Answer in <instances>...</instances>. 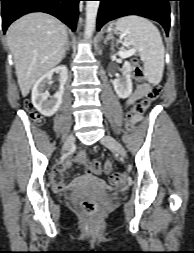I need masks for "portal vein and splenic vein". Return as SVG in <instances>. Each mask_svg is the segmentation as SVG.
I'll list each match as a JSON object with an SVG mask.
<instances>
[{
  "mask_svg": "<svg viewBox=\"0 0 194 253\" xmlns=\"http://www.w3.org/2000/svg\"><path fill=\"white\" fill-rule=\"evenodd\" d=\"M118 54L121 56V57H128V56H131V55H134L135 54V49H129L127 51H119Z\"/></svg>",
  "mask_w": 194,
  "mask_h": 253,
  "instance_id": "obj_1",
  "label": "portal vein and splenic vein"
}]
</instances>
